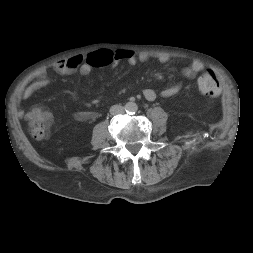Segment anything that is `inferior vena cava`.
I'll list each match as a JSON object with an SVG mask.
<instances>
[{"label":"inferior vena cava","instance_id":"inferior-vena-cava-1","mask_svg":"<svg viewBox=\"0 0 253 253\" xmlns=\"http://www.w3.org/2000/svg\"><path fill=\"white\" fill-rule=\"evenodd\" d=\"M124 112H125V109L121 105H113L110 108L111 115H119V114H123Z\"/></svg>","mask_w":253,"mask_h":253}]
</instances>
